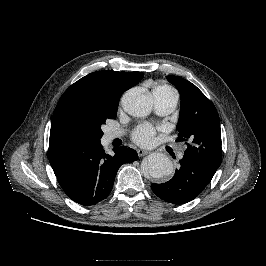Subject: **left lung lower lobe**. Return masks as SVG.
Segmentation results:
<instances>
[{
  "label": "left lung lower lobe",
  "mask_w": 266,
  "mask_h": 266,
  "mask_svg": "<svg viewBox=\"0 0 266 266\" xmlns=\"http://www.w3.org/2000/svg\"><path fill=\"white\" fill-rule=\"evenodd\" d=\"M216 170L183 157L173 178L163 184H151L153 192L172 204H184L196 198L208 185Z\"/></svg>",
  "instance_id": "1"
}]
</instances>
